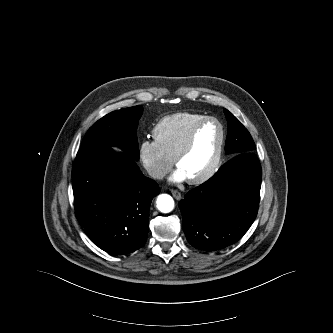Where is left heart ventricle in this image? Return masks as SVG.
<instances>
[{
    "mask_svg": "<svg viewBox=\"0 0 333 333\" xmlns=\"http://www.w3.org/2000/svg\"><path fill=\"white\" fill-rule=\"evenodd\" d=\"M220 141V129L217 124L205 125L197 134L191 150L179 161L180 169L187 180L204 173L212 164Z\"/></svg>",
    "mask_w": 333,
    "mask_h": 333,
    "instance_id": "b2bd125f",
    "label": "left heart ventricle"
}]
</instances>
